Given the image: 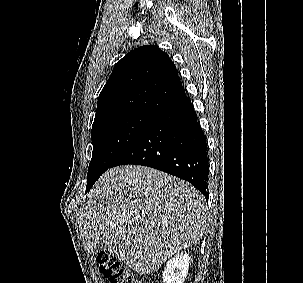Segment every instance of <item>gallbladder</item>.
<instances>
[{"mask_svg": "<svg viewBox=\"0 0 303 283\" xmlns=\"http://www.w3.org/2000/svg\"><path fill=\"white\" fill-rule=\"evenodd\" d=\"M107 248V245L104 243V242H101L99 245H98V247H97V250L99 249V250H103V249H106Z\"/></svg>", "mask_w": 303, "mask_h": 283, "instance_id": "gallbladder-1", "label": "gallbladder"}]
</instances>
